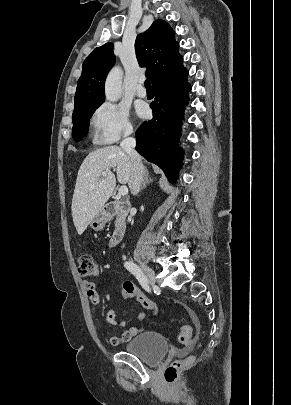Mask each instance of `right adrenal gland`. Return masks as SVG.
I'll return each instance as SVG.
<instances>
[{
  "instance_id": "1",
  "label": "right adrenal gland",
  "mask_w": 291,
  "mask_h": 405,
  "mask_svg": "<svg viewBox=\"0 0 291 405\" xmlns=\"http://www.w3.org/2000/svg\"><path fill=\"white\" fill-rule=\"evenodd\" d=\"M152 181H153V179H152V178H149V176H148V170L145 169V175H144V180H143L141 189H142V190L145 189V188H146V185H147L148 183L152 182Z\"/></svg>"
}]
</instances>
